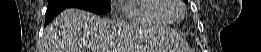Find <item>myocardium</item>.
Masks as SVG:
<instances>
[{"label": "myocardium", "mask_w": 261, "mask_h": 52, "mask_svg": "<svg viewBox=\"0 0 261 52\" xmlns=\"http://www.w3.org/2000/svg\"><path fill=\"white\" fill-rule=\"evenodd\" d=\"M170 3V7L166 10L165 16L169 19L170 23H177L183 20L186 14V9L181 0H167ZM180 9L181 16L178 19L172 18V13L176 10Z\"/></svg>", "instance_id": "myocardium-1"}]
</instances>
